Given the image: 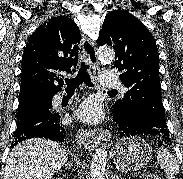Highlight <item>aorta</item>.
<instances>
[{"instance_id": "aorta-1", "label": "aorta", "mask_w": 183, "mask_h": 179, "mask_svg": "<svg viewBox=\"0 0 183 179\" xmlns=\"http://www.w3.org/2000/svg\"><path fill=\"white\" fill-rule=\"evenodd\" d=\"M99 59L104 62H113L115 59V52L110 47H100L98 49ZM107 161V151L104 145L98 147L92 157L90 165L91 179H104L105 167Z\"/></svg>"}]
</instances>
